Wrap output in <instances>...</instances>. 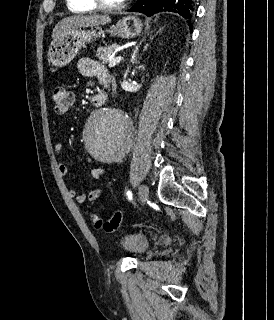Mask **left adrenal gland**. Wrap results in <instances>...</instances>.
Wrapping results in <instances>:
<instances>
[{
    "mask_svg": "<svg viewBox=\"0 0 274 320\" xmlns=\"http://www.w3.org/2000/svg\"><path fill=\"white\" fill-rule=\"evenodd\" d=\"M139 46H141V44H138V46H136V50H134V52L132 54V58L130 60V62H132V64H137V56H138ZM147 46H149V44H146V46H144L143 52H145V50H147Z\"/></svg>",
    "mask_w": 274,
    "mask_h": 320,
    "instance_id": "left-adrenal-gland-1",
    "label": "left adrenal gland"
}]
</instances>
